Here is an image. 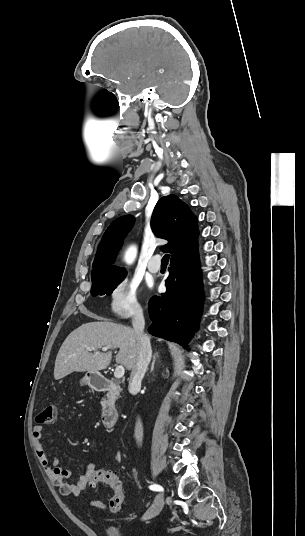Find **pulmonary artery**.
I'll list each match as a JSON object with an SVG mask.
<instances>
[{
	"label": "pulmonary artery",
	"mask_w": 305,
	"mask_h": 536,
	"mask_svg": "<svg viewBox=\"0 0 305 536\" xmlns=\"http://www.w3.org/2000/svg\"><path fill=\"white\" fill-rule=\"evenodd\" d=\"M150 260H151V261H150L149 264H148V269H149V271L152 272V273H157V272H159V270H160V268H161V266H160V264H159V262H160V260H161L160 255L157 254V253H154V254L151 255Z\"/></svg>",
	"instance_id": "1"
}]
</instances>
